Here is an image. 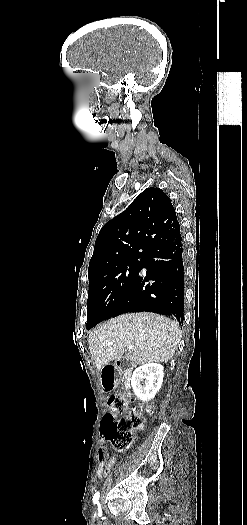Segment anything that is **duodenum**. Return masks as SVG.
<instances>
[{"mask_svg": "<svg viewBox=\"0 0 247 525\" xmlns=\"http://www.w3.org/2000/svg\"><path fill=\"white\" fill-rule=\"evenodd\" d=\"M121 374L124 378L126 387H129L132 366L124 358L117 359L107 365H105L101 371V383L102 387L106 392L114 389L118 382V375Z\"/></svg>", "mask_w": 247, "mask_h": 525, "instance_id": "410a0bca", "label": "duodenum"}]
</instances>
